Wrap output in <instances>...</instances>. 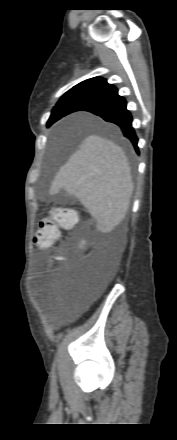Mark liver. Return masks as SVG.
I'll return each mask as SVG.
<instances>
[{
    "mask_svg": "<svg viewBox=\"0 0 177 440\" xmlns=\"http://www.w3.org/2000/svg\"><path fill=\"white\" fill-rule=\"evenodd\" d=\"M133 188L122 148L100 135H89L59 169L49 194L66 190L88 210L99 230L110 232L124 220Z\"/></svg>",
    "mask_w": 177,
    "mask_h": 440,
    "instance_id": "obj_1",
    "label": "liver"
}]
</instances>
